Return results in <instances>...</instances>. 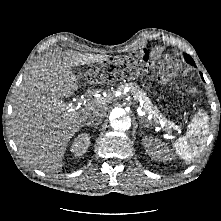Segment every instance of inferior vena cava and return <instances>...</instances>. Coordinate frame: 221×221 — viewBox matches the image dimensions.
Instances as JSON below:
<instances>
[{
	"label": "inferior vena cava",
	"instance_id": "602c4592",
	"mask_svg": "<svg viewBox=\"0 0 221 221\" xmlns=\"http://www.w3.org/2000/svg\"><path fill=\"white\" fill-rule=\"evenodd\" d=\"M103 114L97 110H94L89 116L88 124L89 125H99L102 122Z\"/></svg>",
	"mask_w": 221,
	"mask_h": 221
}]
</instances>
